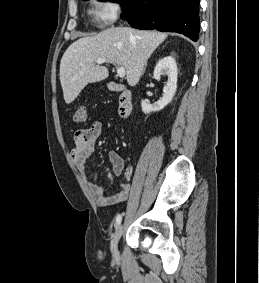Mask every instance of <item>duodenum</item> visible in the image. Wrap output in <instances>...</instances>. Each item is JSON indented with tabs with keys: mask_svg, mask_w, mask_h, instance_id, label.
I'll list each match as a JSON object with an SVG mask.
<instances>
[{
	"mask_svg": "<svg viewBox=\"0 0 259 283\" xmlns=\"http://www.w3.org/2000/svg\"><path fill=\"white\" fill-rule=\"evenodd\" d=\"M110 88L113 91L119 92V107L118 112L120 116L126 117L132 111V94L129 90L123 88L121 85L111 83Z\"/></svg>",
	"mask_w": 259,
	"mask_h": 283,
	"instance_id": "obj_1",
	"label": "duodenum"
}]
</instances>
